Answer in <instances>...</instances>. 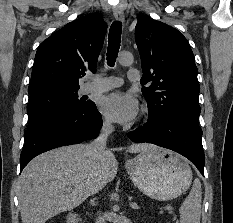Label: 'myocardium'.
Returning a JSON list of instances; mask_svg holds the SVG:
<instances>
[{
	"instance_id": "myocardium-1",
	"label": "myocardium",
	"mask_w": 233,
	"mask_h": 223,
	"mask_svg": "<svg viewBox=\"0 0 233 223\" xmlns=\"http://www.w3.org/2000/svg\"><path fill=\"white\" fill-rule=\"evenodd\" d=\"M149 121V115L148 114H144L143 117L141 118L140 124L141 125H145L147 124Z\"/></svg>"
}]
</instances>
